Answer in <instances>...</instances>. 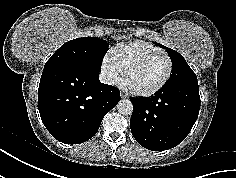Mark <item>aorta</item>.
<instances>
[{
  "instance_id": "obj_1",
  "label": "aorta",
  "mask_w": 236,
  "mask_h": 178,
  "mask_svg": "<svg viewBox=\"0 0 236 178\" xmlns=\"http://www.w3.org/2000/svg\"><path fill=\"white\" fill-rule=\"evenodd\" d=\"M117 110L122 115H131L133 112V104L127 99L120 100L117 104Z\"/></svg>"
}]
</instances>
